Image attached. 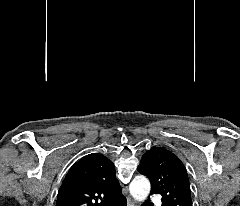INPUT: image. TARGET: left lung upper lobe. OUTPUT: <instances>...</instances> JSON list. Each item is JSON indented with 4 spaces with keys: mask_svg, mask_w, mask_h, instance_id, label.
Wrapping results in <instances>:
<instances>
[{
    "mask_svg": "<svg viewBox=\"0 0 240 206\" xmlns=\"http://www.w3.org/2000/svg\"><path fill=\"white\" fill-rule=\"evenodd\" d=\"M151 182V193L162 195V206H192L186 168L180 159L164 148L147 151L138 166Z\"/></svg>",
    "mask_w": 240,
    "mask_h": 206,
    "instance_id": "left-lung-upper-lobe-1",
    "label": "left lung upper lobe"
}]
</instances>
